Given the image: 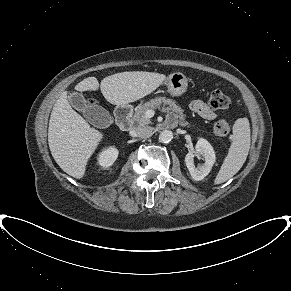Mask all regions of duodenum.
Returning <instances> with one entry per match:
<instances>
[{
	"instance_id": "1",
	"label": "duodenum",
	"mask_w": 291,
	"mask_h": 291,
	"mask_svg": "<svg viewBox=\"0 0 291 291\" xmlns=\"http://www.w3.org/2000/svg\"><path fill=\"white\" fill-rule=\"evenodd\" d=\"M131 107L130 106H121L116 109L115 117L116 122L119 128L123 131H127L131 128L132 122H131ZM173 122L167 121L164 126H169Z\"/></svg>"
}]
</instances>
